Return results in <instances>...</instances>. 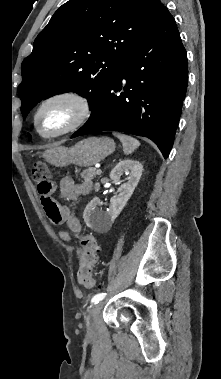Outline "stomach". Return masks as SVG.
<instances>
[{
  "instance_id": "obj_1",
  "label": "stomach",
  "mask_w": 221,
  "mask_h": 379,
  "mask_svg": "<svg viewBox=\"0 0 221 379\" xmlns=\"http://www.w3.org/2000/svg\"><path fill=\"white\" fill-rule=\"evenodd\" d=\"M115 150V143L108 137H90L72 147L54 146L43 154L45 160L53 166L65 167L75 164L90 167L99 163Z\"/></svg>"
}]
</instances>
